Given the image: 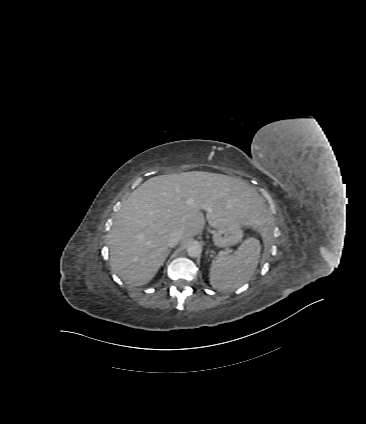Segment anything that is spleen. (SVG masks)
<instances>
[{"label":"spleen","mask_w":366,"mask_h":424,"mask_svg":"<svg viewBox=\"0 0 366 424\" xmlns=\"http://www.w3.org/2000/svg\"><path fill=\"white\" fill-rule=\"evenodd\" d=\"M260 252V241L250 237L238 247L235 253L216 258L209 272L211 286L226 292L241 287L254 275Z\"/></svg>","instance_id":"3e777b00"}]
</instances>
